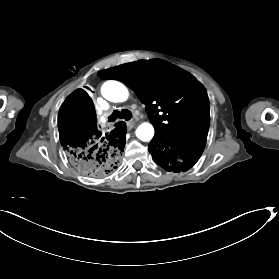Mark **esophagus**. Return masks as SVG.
<instances>
[{
    "label": "esophagus",
    "instance_id": "34e87169",
    "mask_svg": "<svg viewBox=\"0 0 279 279\" xmlns=\"http://www.w3.org/2000/svg\"><path fill=\"white\" fill-rule=\"evenodd\" d=\"M135 125V122L134 121H127L126 122V127L128 130H131Z\"/></svg>",
    "mask_w": 279,
    "mask_h": 279
}]
</instances>
